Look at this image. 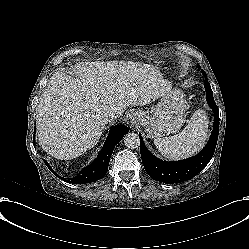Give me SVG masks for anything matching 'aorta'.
Wrapping results in <instances>:
<instances>
[{
  "mask_svg": "<svg viewBox=\"0 0 249 249\" xmlns=\"http://www.w3.org/2000/svg\"><path fill=\"white\" fill-rule=\"evenodd\" d=\"M124 145L127 148H138L140 145V138L135 133H127L123 138Z\"/></svg>",
  "mask_w": 249,
  "mask_h": 249,
  "instance_id": "1",
  "label": "aorta"
}]
</instances>
